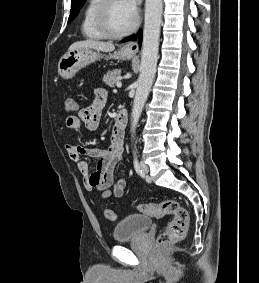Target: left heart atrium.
Instances as JSON below:
<instances>
[{
	"label": "left heart atrium",
	"instance_id": "1",
	"mask_svg": "<svg viewBox=\"0 0 259 283\" xmlns=\"http://www.w3.org/2000/svg\"><path fill=\"white\" fill-rule=\"evenodd\" d=\"M127 7L135 14L139 0H124Z\"/></svg>",
	"mask_w": 259,
	"mask_h": 283
}]
</instances>
